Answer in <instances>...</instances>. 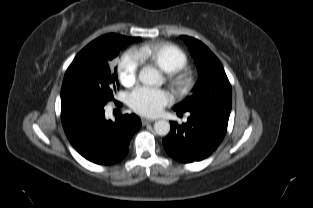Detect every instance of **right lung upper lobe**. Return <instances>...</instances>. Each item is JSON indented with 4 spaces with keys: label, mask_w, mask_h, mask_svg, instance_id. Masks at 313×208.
I'll return each instance as SVG.
<instances>
[{
    "label": "right lung upper lobe",
    "mask_w": 313,
    "mask_h": 208,
    "mask_svg": "<svg viewBox=\"0 0 313 208\" xmlns=\"http://www.w3.org/2000/svg\"><path fill=\"white\" fill-rule=\"evenodd\" d=\"M115 35H117V34H115ZM118 36H120V35H118ZM122 38H126V39H132V38H129V37H125V36H121Z\"/></svg>",
    "instance_id": "obj_1"
}]
</instances>
